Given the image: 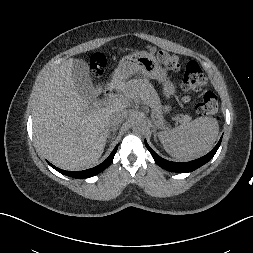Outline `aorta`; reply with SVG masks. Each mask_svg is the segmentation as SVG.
I'll return each mask as SVG.
<instances>
[{
  "label": "aorta",
  "instance_id": "aorta-1",
  "mask_svg": "<svg viewBox=\"0 0 253 253\" xmlns=\"http://www.w3.org/2000/svg\"><path fill=\"white\" fill-rule=\"evenodd\" d=\"M132 130L136 134H144L147 130V123L142 118H136L132 125Z\"/></svg>",
  "mask_w": 253,
  "mask_h": 253
}]
</instances>
